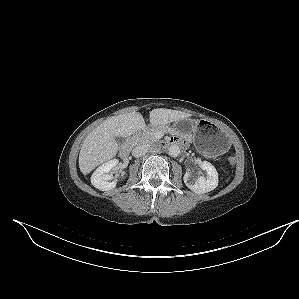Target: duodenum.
<instances>
[{
	"instance_id": "1",
	"label": "duodenum",
	"mask_w": 299,
	"mask_h": 299,
	"mask_svg": "<svg viewBox=\"0 0 299 299\" xmlns=\"http://www.w3.org/2000/svg\"><path fill=\"white\" fill-rule=\"evenodd\" d=\"M182 142L181 139L177 138V137H172L171 139L167 140L164 142V145H172V144H177V143H180ZM132 146H133V139H129L127 142H125L120 150H119V155L122 157V158H125L127 157L129 154H130V151L132 149Z\"/></svg>"
}]
</instances>
